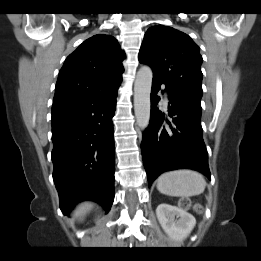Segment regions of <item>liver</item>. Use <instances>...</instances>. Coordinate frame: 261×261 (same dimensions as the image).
<instances>
[{"label": "liver", "instance_id": "liver-1", "mask_svg": "<svg viewBox=\"0 0 261 261\" xmlns=\"http://www.w3.org/2000/svg\"><path fill=\"white\" fill-rule=\"evenodd\" d=\"M88 205V203H83L77 207L75 215L78 217V220L82 221L84 219Z\"/></svg>", "mask_w": 261, "mask_h": 261}]
</instances>
